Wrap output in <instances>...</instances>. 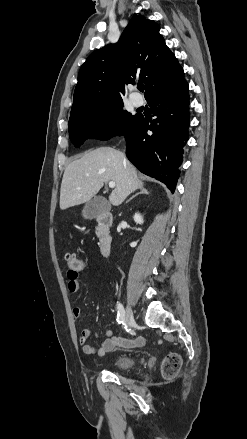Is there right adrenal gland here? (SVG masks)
I'll use <instances>...</instances> for the list:
<instances>
[{
	"label": "right adrenal gland",
	"mask_w": 247,
	"mask_h": 439,
	"mask_svg": "<svg viewBox=\"0 0 247 439\" xmlns=\"http://www.w3.org/2000/svg\"><path fill=\"white\" fill-rule=\"evenodd\" d=\"M139 190H140V192L133 195L129 200L126 201V203L130 202L133 198H135L139 194H146V195L149 194V191L146 188H144V186H140Z\"/></svg>",
	"instance_id": "right-adrenal-gland-1"
}]
</instances>
